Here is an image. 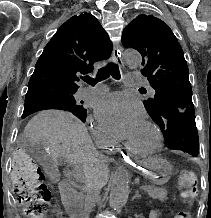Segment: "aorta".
Instances as JSON below:
<instances>
[{
	"label": "aorta",
	"mask_w": 211,
	"mask_h": 218,
	"mask_svg": "<svg viewBox=\"0 0 211 218\" xmlns=\"http://www.w3.org/2000/svg\"><path fill=\"white\" fill-rule=\"evenodd\" d=\"M124 59L127 65L132 68L141 65V56L137 51L127 50L124 52ZM130 177L128 171L119 167L113 177L109 196V204L112 208H121L128 198Z\"/></svg>",
	"instance_id": "aorta-1"
}]
</instances>
